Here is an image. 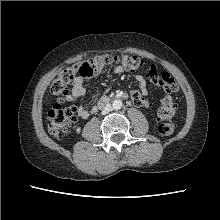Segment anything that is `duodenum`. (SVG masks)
<instances>
[{"instance_id":"410a0bca","label":"duodenum","mask_w":220,"mask_h":220,"mask_svg":"<svg viewBox=\"0 0 220 220\" xmlns=\"http://www.w3.org/2000/svg\"><path fill=\"white\" fill-rule=\"evenodd\" d=\"M127 97H128L127 94L123 93V92L117 93L113 96L105 95L100 99L97 108L105 107L112 100H118V99L125 100V99H127Z\"/></svg>"}]
</instances>
